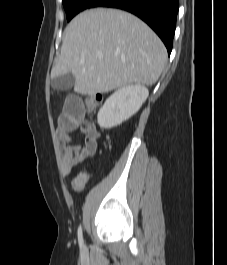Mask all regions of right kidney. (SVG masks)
Wrapping results in <instances>:
<instances>
[{
	"instance_id": "obj_1",
	"label": "right kidney",
	"mask_w": 227,
	"mask_h": 265,
	"mask_svg": "<svg viewBox=\"0 0 227 265\" xmlns=\"http://www.w3.org/2000/svg\"><path fill=\"white\" fill-rule=\"evenodd\" d=\"M149 95L143 85H129L115 91L104 103L97 115L101 128L110 129L133 116Z\"/></svg>"
}]
</instances>
